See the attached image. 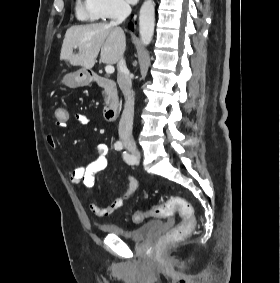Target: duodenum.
Listing matches in <instances>:
<instances>
[{
    "label": "duodenum",
    "instance_id": "obj_1",
    "mask_svg": "<svg viewBox=\"0 0 280 283\" xmlns=\"http://www.w3.org/2000/svg\"><path fill=\"white\" fill-rule=\"evenodd\" d=\"M88 80L100 87L105 93L103 114L108 121H113L119 110V97L116 84L113 80L92 73L87 77Z\"/></svg>",
    "mask_w": 280,
    "mask_h": 283
}]
</instances>
